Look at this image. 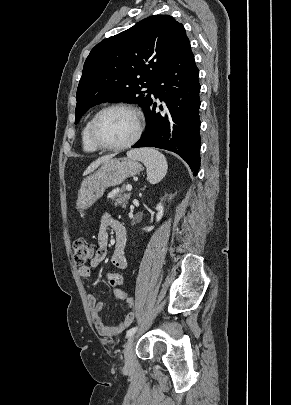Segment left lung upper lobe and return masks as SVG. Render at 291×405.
<instances>
[{
  "label": "left lung upper lobe",
  "mask_w": 291,
  "mask_h": 405,
  "mask_svg": "<svg viewBox=\"0 0 291 405\" xmlns=\"http://www.w3.org/2000/svg\"><path fill=\"white\" fill-rule=\"evenodd\" d=\"M185 38L173 17L153 15L97 44L77 88L75 124L102 102L135 103L145 111L153 84Z\"/></svg>",
  "instance_id": "obj_1"
}]
</instances>
